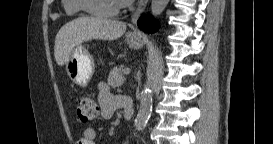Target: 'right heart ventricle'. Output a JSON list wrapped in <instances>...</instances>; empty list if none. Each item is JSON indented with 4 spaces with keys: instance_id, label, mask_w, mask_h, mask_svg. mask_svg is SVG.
<instances>
[{
    "instance_id": "1",
    "label": "right heart ventricle",
    "mask_w": 273,
    "mask_h": 144,
    "mask_svg": "<svg viewBox=\"0 0 273 144\" xmlns=\"http://www.w3.org/2000/svg\"><path fill=\"white\" fill-rule=\"evenodd\" d=\"M62 5L64 11L69 15H77L82 11L78 0H63Z\"/></svg>"
}]
</instances>
